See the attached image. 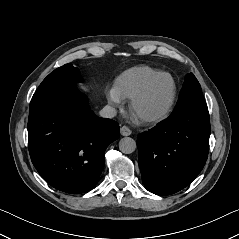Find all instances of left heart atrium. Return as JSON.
Here are the masks:
<instances>
[{
    "label": "left heart atrium",
    "mask_w": 239,
    "mask_h": 239,
    "mask_svg": "<svg viewBox=\"0 0 239 239\" xmlns=\"http://www.w3.org/2000/svg\"><path fill=\"white\" fill-rule=\"evenodd\" d=\"M132 118L135 119V120L137 119V117L135 115H133Z\"/></svg>",
    "instance_id": "1"
}]
</instances>
